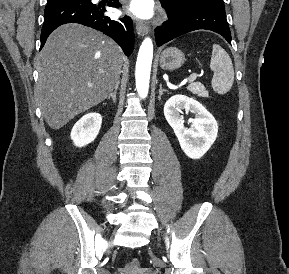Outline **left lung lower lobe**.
Segmentation results:
<instances>
[{
  "instance_id": "0a47b994",
  "label": "left lung lower lobe",
  "mask_w": 289,
  "mask_h": 274,
  "mask_svg": "<svg viewBox=\"0 0 289 274\" xmlns=\"http://www.w3.org/2000/svg\"><path fill=\"white\" fill-rule=\"evenodd\" d=\"M162 3V2H161ZM168 20L155 29L157 46L185 33L206 29L222 35L231 44V32L225 16V8L214 5H198L185 12L175 11L163 4Z\"/></svg>"
}]
</instances>
